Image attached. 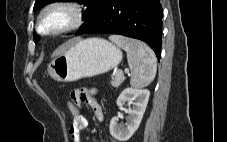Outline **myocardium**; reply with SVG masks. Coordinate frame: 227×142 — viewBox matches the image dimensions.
<instances>
[{
	"label": "myocardium",
	"instance_id": "1",
	"mask_svg": "<svg viewBox=\"0 0 227 142\" xmlns=\"http://www.w3.org/2000/svg\"><path fill=\"white\" fill-rule=\"evenodd\" d=\"M54 10H64L67 11L70 14V22L56 30L51 31H44L42 29L43 21L46 17V15ZM84 19V10L83 7L75 1H55L51 2L47 5H45L41 11L38 14L37 21H36V32L42 36H58L65 33H69L78 27L83 23Z\"/></svg>",
	"mask_w": 227,
	"mask_h": 142
}]
</instances>
